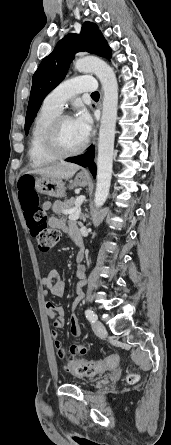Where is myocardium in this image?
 I'll return each mask as SVG.
<instances>
[{
	"label": "myocardium",
	"instance_id": "1",
	"mask_svg": "<svg viewBox=\"0 0 171 445\" xmlns=\"http://www.w3.org/2000/svg\"><path fill=\"white\" fill-rule=\"evenodd\" d=\"M69 119H73L71 115L59 114L52 119V121L46 128L43 141L44 149L48 154L56 158H66L78 155L83 152L88 146L89 139L87 137L84 142L75 149L66 150L61 147L59 143V130L63 122Z\"/></svg>",
	"mask_w": 171,
	"mask_h": 445
}]
</instances>
